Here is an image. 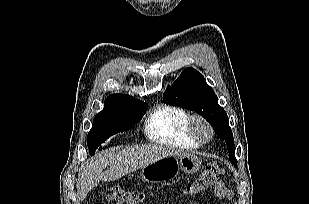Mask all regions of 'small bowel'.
<instances>
[{"label": "small bowel", "instance_id": "c3829d8e", "mask_svg": "<svg viewBox=\"0 0 309 204\" xmlns=\"http://www.w3.org/2000/svg\"><path fill=\"white\" fill-rule=\"evenodd\" d=\"M214 193L219 197H227V198L231 197L232 195L230 189H228L223 182L215 186Z\"/></svg>", "mask_w": 309, "mask_h": 204}]
</instances>
